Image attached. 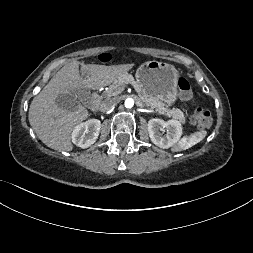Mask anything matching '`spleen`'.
I'll return each instance as SVG.
<instances>
[{
	"label": "spleen",
	"mask_w": 253,
	"mask_h": 253,
	"mask_svg": "<svg viewBox=\"0 0 253 253\" xmlns=\"http://www.w3.org/2000/svg\"><path fill=\"white\" fill-rule=\"evenodd\" d=\"M207 135L206 131H199L191 134L190 136L183 137L175 146L174 151H181L191 148L197 143L201 142Z\"/></svg>",
	"instance_id": "3e777b00"
}]
</instances>
